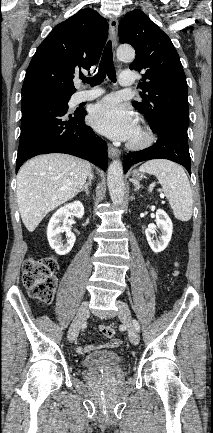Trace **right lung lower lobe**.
Here are the masks:
<instances>
[{"mask_svg": "<svg viewBox=\"0 0 213 433\" xmlns=\"http://www.w3.org/2000/svg\"><path fill=\"white\" fill-rule=\"evenodd\" d=\"M21 105L16 172L26 160L52 152L81 157L106 171L107 144L85 125V110L68 113L55 102L33 96H23Z\"/></svg>", "mask_w": 213, "mask_h": 433, "instance_id": "obj_1", "label": "right lung lower lobe"}]
</instances>
